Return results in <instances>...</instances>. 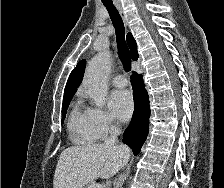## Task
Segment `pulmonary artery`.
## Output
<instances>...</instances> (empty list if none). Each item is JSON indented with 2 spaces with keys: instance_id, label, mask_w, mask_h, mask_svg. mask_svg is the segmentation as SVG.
<instances>
[{
  "instance_id": "obj_1",
  "label": "pulmonary artery",
  "mask_w": 224,
  "mask_h": 188,
  "mask_svg": "<svg viewBox=\"0 0 224 188\" xmlns=\"http://www.w3.org/2000/svg\"><path fill=\"white\" fill-rule=\"evenodd\" d=\"M112 83L115 87L123 88L127 86L128 81L124 75H117L113 78Z\"/></svg>"
}]
</instances>
